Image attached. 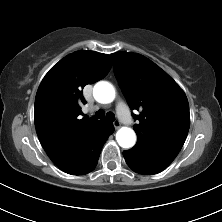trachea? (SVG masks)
Instances as JSON below:
<instances>
[{
  "instance_id": "3493384b",
  "label": "trachea",
  "mask_w": 222,
  "mask_h": 222,
  "mask_svg": "<svg viewBox=\"0 0 222 222\" xmlns=\"http://www.w3.org/2000/svg\"><path fill=\"white\" fill-rule=\"evenodd\" d=\"M104 116H105L104 111L98 110V111L95 113V116H94V117L100 119V118H103ZM106 118H107L108 120H110V121H114L115 116H114L113 113L109 112V113L106 114Z\"/></svg>"
}]
</instances>
